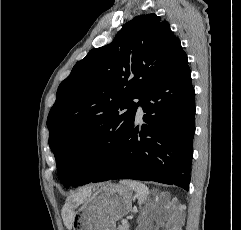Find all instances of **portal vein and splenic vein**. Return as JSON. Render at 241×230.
<instances>
[{"instance_id": "1", "label": "portal vein and splenic vein", "mask_w": 241, "mask_h": 230, "mask_svg": "<svg viewBox=\"0 0 241 230\" xmlns=\"http://www.w3.org/2000/svg\"><path fill=\"white\" fill-rule=\"evenodd\" d=\"M128 224V221L126 219H123L122 220V225H127Z\"/></svg>"}]
</instances>
